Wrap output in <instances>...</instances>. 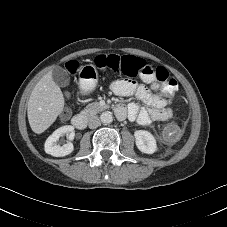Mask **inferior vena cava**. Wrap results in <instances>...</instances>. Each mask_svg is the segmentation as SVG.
Masks as SVG:
<instances>
[{
	"label": "inferior vena cava",
	"instance_id": "inferior-vena-cava-1",
	"mask_svg": "<svg viewBox=\"0 0 227 227\" xmlns=\"http://www.w3.org/2000/svg\"><path fill=\"white\" fill-rule=\"evenodd\" d=\"M99 124H100V119L98 116L94 115V116L89 117V119H88L89 128H91V129L97 128L99 126Z\"/></svg>",
	"mask_w": 227,
	"mask_h": 227
}]
</instances>
